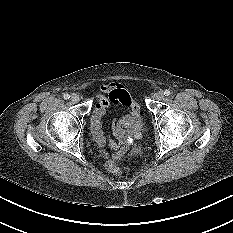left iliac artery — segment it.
<instances>
[{
	"label": "left iliac artery",
	"instance_id": "1",
	"mask_svg": "<svg viewBox=\"0 0 233 233\" xmlns=\"http://www.w3.org/2000/svg\"><path fill=\"white\" fill-rule=\"evenodd\" d=\"M164 95L165 96H169L170 95V91L169 90H165Z\"/></svg>",
	"mask_w": 233,
	"mask_h": 233
}]
</instances>
